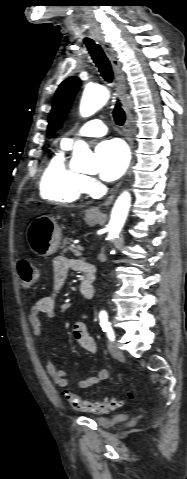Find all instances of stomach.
Instances as JSON below:
<instances>
[{"label": "stomach", "mask_w": 187, "mask_h": 479, "mask_svg": "<svg viewBox=\"0 0 187 479\" xmlns=\"http://www.w3.org/2000/svg\"><path fill=\"white\" fill-rule=\"evenodd\" d=\"M98 220L99 215L86 213L85 221L88 225L93 226ZM27 239L34 253L46 257L59 247L61 228L53 217L43 215L31 222L27 230Z\"/></svg>", "instance_id": "0dacf381"}]
</instances>
